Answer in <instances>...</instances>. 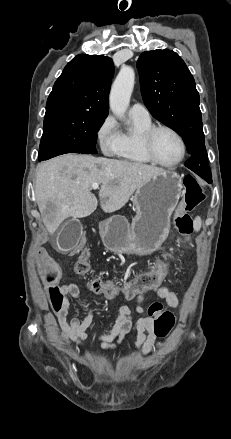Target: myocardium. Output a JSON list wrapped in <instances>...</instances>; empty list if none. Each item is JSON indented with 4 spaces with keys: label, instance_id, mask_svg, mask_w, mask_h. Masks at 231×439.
I'll use <instances>...</instances> for the list:
<instances>
[{
    "label": "myocardium",
    "instance_id": "myocardium-1",
    "mask_svg": "<svg viewBox=\"0 0 231 439\" xmlns=\"http://www.w3.org/2000/svg\"><path fill=\"white\" fill-rule=\"evenodd\" d=\"M168 131L171 134H173L179 141L180 146H181V154L180 157L172 163H164L162 161H160L157 156L155 155L154 152V148H153V139L154 136L156 135L157 132L159 131ZM140 143H141V147L142 150L144 152V154L146 155V157L154 164L164 167V168H173L178 166L185 158L186 156V152H187V147H186V143L184 138L182 137V135L173 127L168 126V125H153L151 126L149 129H147L146 131H144L141 134L140 137Z\"/></svg>",
    "mask_w": 231,
    "mask_h": 439
}]
</instances>
